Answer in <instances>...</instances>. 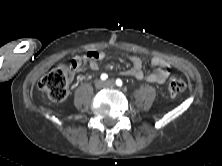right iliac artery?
Returning <instances> with one entry per match:
<instances>
[{
	"instance_id": "right-iliac-artery-1",
	"label": "right iliac artery",
	"mask_w": 222,
	"mask_h": 166,
	"mask_svg": "<svg viewBox=\"0 0 222 166\" xmlns=\"http://www.w3.org/2000/svg\"><path fill=\"white\" fill-rule=\"evenodd\" d=\"M100 78H101V80L104 81L108 78V76H107V74L103 73V74H101Z\"/></svg>"
}]
</instances>
